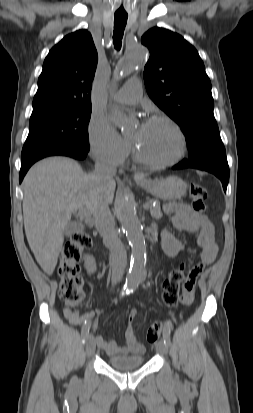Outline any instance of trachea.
<instances>
[{"instance_id":"3493384b","label":"trachea","mask_w":253,"mask_h":413,"mask_svg":"<svg viewBox=\"0 0 253 413\" xmlns=\"http://www.w3.org/2000/svg\"><path fill=\"white\" fill-rule=\"evenodd\" d=\"M128 15L115 14L114 15V31H113V43L117 50L121 48V40L123 38L125 26L127 23Z\"/></svg>"}]
</instances>
